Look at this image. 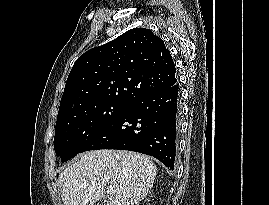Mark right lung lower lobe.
Returning <instances> with one entry per match:
<instances>
[{
    "mask_svg": "<svg viewBox=\"0 0 269 205\" xmlns=\"http://www.w3.org/2000/svg\"><path fill=\"white\" fill-rule=\"evenodd\" d=\"M180 123L177 84L131 102L82 152L121 149L153 156L174 170Z\"/></svg>",
    "mask_w": 269,
    "mask_h": 205,
    "instance_id": "right-lung-lower-lobe-1",
    "label": "right lung lower lobe"
}]
</instances>
